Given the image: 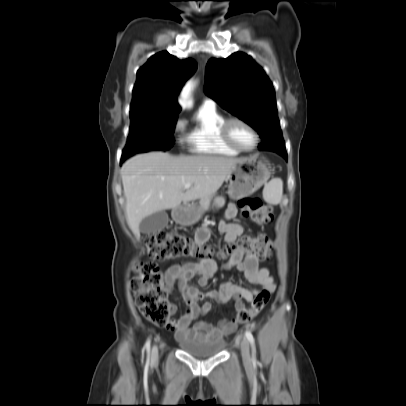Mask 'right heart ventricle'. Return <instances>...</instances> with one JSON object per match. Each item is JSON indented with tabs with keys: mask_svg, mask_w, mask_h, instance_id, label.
I'll list each match as a JSON object with an SVG mask.
<instances>
[{
	"mask_svg": "<svg viewBox=\"0 0 406 406\" xmlns=\"http://www.w3.org/2000/svg\"><path fill=\"white\" fill-rule=\"evenodd\" d=\"M225 117L215 106H201L195 124L185 141L191 152L205 155L236 156L239 151L229 147L221 138V125Z\"/></svg>",
	"mask_w": 406,
	"mask_h": 406,
	"instance_id": "1",
	"label": "right heart ventricle"
}]
</instances>
